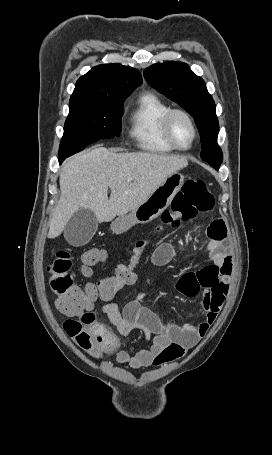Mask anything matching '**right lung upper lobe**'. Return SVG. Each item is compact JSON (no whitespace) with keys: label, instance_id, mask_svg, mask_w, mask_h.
<instances>
[{"label":"right lung upper lobe","instance_id":"1","mask_svg":"<svg viewBox=\"0 0 272 455\" xmlns=\"http://www.w3.org/2000/svg\"><path fill=\"white\" fill-rule=\"evenodd\" d=\"M141 83V75L134 68L118 63L98 65L78 79L69 106L123 104Z\"/></svg>","mask_w":272,"mask_h":455}]
</instances>
